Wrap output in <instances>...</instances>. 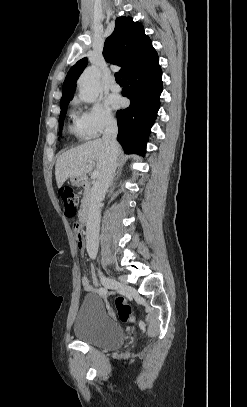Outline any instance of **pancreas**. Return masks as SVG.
I'll list each match as a JSON object with an SVG mask.
<instances>
[{"label":"pancreas","mask_w":247,"mask_h":407,"mask_svg":"<svg viewBox=\"0 0 247 407\" xmlns=\"http://www.w3.org/2000/svg\"><path fill=\"white\" fill-rule=\"evenodd\" d=\"M89 199H90V189L89 187H85L82 203L83 204L87 203Z\"/></svg>","instance_id":"pancreas-1"}]
</instances>
